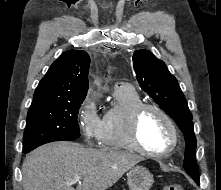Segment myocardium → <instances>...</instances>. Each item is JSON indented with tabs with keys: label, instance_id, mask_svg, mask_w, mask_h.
<instances>
[{
	"label": "myocardium",
	"instance_id": "1",
	"mask_svg": "<svg viewBox=\"0 0 221 190\" xmlns=\"http://www.w3.org/2000/svg\"><path fill=\"white\" fill-rule=\"evenodd\" d=\"M146 110H154L158 114H160L163 117V119L167 122L171 130L172 142L168 148L162 151L150 150L146 148L140 141L139 124H140L141 116ZM127 132H128L129 141L131 145L133 146V148L137 152H140L144 155H148L152 157H163V156L170 154L177 148L178 143H179V132L173 119L163 108L153 103H141L132 109L130 116H129V120H128Z\"/></svg>",
	"mask_w": 221,
	"mask_h": 190
}]
</instances>
